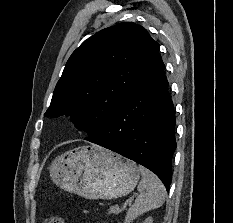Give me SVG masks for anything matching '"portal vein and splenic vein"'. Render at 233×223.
Masks as SVG:
<instances>
[{
	"mask_svg": "<svg viewBox=\"0 0 233 223\" xmlns=\"http://www.w3.org/2000/svg\"><path fill=\"white\" fill-rule=\"evenodd\" d=\"M123 207H126V205H123ZM123 207H122V209H123ZM122 209H118V211H122Z\"/></svg>",
	"mask_w": 233,
	"mask_h": 223,
	"instance_id": "obj_1",
	"label": "portal vein and splenic vein"
}]
</instances>
